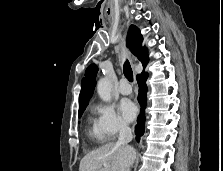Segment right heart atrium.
Masks as SVG:
<instances>
[{"label":"right heart atrium","mask_w":223,"mask_h":171,"mask_svg":"<svg viewBox=\"0 0 223 171\" xmlns=\"http://www.w3.org/2000/svg\"><path fill=\"white\" fill-rule=\"evenodd\" d=\"M95 128L103 140H112L129 128L112 105L98 103L94 106Z\"/></svg>","instance_id":"obj_1"}]
</instances>
